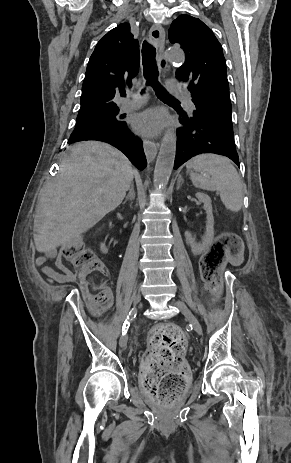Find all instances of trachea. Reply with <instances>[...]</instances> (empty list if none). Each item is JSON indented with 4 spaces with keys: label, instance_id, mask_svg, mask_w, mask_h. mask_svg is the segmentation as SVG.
I'll use <instances>...</instances> for the list:
<instances>
[{
    "label": "trachea",
    "instance_id": "1",
    "mask_svg": "<svg viewBox=\"0 0 291 463\" xmlns=\"http://www.w3.org/2000/svg\"><path fill=\"white\" fill-rule=\"evenodd\" d=\"M155 54V48L147 41H145L142 48V63L143 74L145 79L147 80L146 85L152 86L155 90L156 95L161 100L178 102V100L169 95L158 82L159 72L155 61ZM123 95H125V92L123 93Z\"/></svg>",
    "mask_w": 291,
    "mask_h": 463
}]
</instances>
